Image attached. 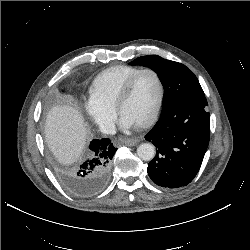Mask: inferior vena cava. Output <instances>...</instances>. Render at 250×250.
Listing matches in <instances>:
<instances>
[{
	"instance_id": "obj_1",
	"label": "inferior vena cava",
	"mask_w": 250,
	"mask_h": 250,
	"mask_svg": "<svg viewBox=\"0 0 250 250\" xmlns=\"http://www.w3.org/2000/svg\"><path fill=\"white\" fill-rule=\"evenodd\" d=\"M100 131L104 134L113 135L116 133V128L114 123L111 122H103L100 124Z\"/></svg>"
}]
</instances>
